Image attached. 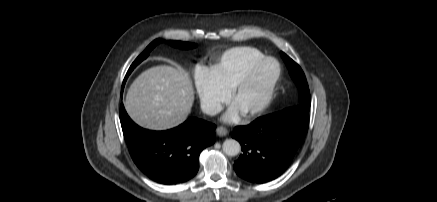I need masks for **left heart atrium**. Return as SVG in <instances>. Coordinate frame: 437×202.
<instances>
[{"instance_id": "obj_1", "label": "left heart atrium", "mask_w": 437, "mask_h": 202, "mask_svg": "<svg viewBox=\"0 0 437 202\" xmlns=\"http://www.w3.org/2000/svg\"><path fill=\"white\" fill-rule=\"evenodd\" d=\"M240 115H241L240 109L235 104H233L227 110V112L225 113L223 118L227 122H234V121H237L239 119Z\"/></svg>"}]
</instances>
